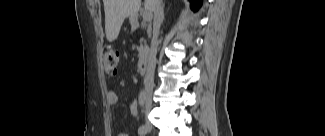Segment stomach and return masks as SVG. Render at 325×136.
<instances>
[{
  "mask_svg": "<svg viewBox=\"0 0 325 136\" xmlns=\"http://www.w3.org/2000/svg\"><path fill=\"white\" fill-rule=\"evenodd\" d=\"M130 22H131L132 26L135 27V25H136V19L130 17Z\"/></svg>",
  "mask_w": 325,
  "mask_h": 136,
  "instance_id": "stomach-1",
  "label": "stomach"
}]
</instances>
